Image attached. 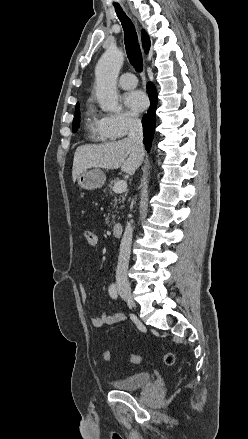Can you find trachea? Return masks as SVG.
<instances>
[{"instance_id":"1","label":"trachea","mask_w":248,"mask_h":439,"mask_svg":"<svg viewBox=\"0 0 248 439\" xmlns=\"http://www.w3.org/2000/svg\"><path fill=\"white\" fill-rule=\"evenodd\" d=\"M114 7L124 29L125 49L129 62L137 71L141 72L143 70V59L135 26L119 5H114Z\"/></svg>"}]
</instances>
